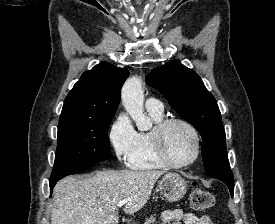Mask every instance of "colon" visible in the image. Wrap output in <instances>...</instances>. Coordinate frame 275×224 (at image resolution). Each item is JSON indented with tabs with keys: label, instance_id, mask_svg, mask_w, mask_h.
<instances>
[{
	"label": "colon",
	"instance_id": "obj_1",
	"mask_svg": "<svg viewBox=\"0 0 275 224\" xmlns=\"http://www.w3.org/2000/svg\"><path fill=\"white\" fill-rule=\"evenodd\" d=\"M189 197L191 207L195 210L209 209L215 203L214 195L196 184L191 186Z\"/></svg>",
	"mask_w": 275,
	"mask_h": 224
}]
</instances>
